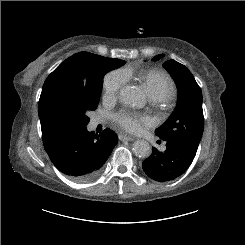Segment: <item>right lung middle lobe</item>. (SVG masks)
<instances>
[{
	"instance_id": "dd1d6c3e",
	"label": "right lung middle lobe",
	"mask_w": 245,
	"mask_h": 245,
	"mask_svg": "<svg viewBox=\"0 0 245 245\" xmlns=\"http://www.w3.org/2000/svg\"><path fill=\"white\" fill-rule=\"evenodd\" d=\"M83 63L91 78L89 88L72 87L64 80H53L43 86L38 113L54 133L66 135L86 128L88 112L98 106L104 75L125 64L123 60L92 53L85 56Z\"/></svg>"
}]
</instances>
